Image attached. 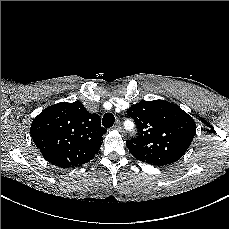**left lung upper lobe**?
Wrapping results in <instances>:
<instances>
[{
	"label": "left lung upper lobe",
	"mask_w": 229,
	"mask_h": 229,
	"mask_svg": "<svg viewBox=\"0 0 229 229\" xmlns=\"http://www.w3.org/2000/svg\"><path fill=\"white\" fill-rule=\"evenodd\" d=\"M138 127L126 142L130 153L142 162L162 166L178 161L196 134L191 116L176 104L163 100L140 101L127 109Z\"/></svg>",
	"instance_id": "5c2ea615"
}]
</instances>
